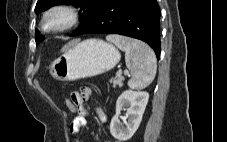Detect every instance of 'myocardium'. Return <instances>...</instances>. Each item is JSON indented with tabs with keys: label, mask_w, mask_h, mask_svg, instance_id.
<instances>
[{
	"label": "myocardium",
	"mask_w": 227,
	"mask_h": 142,
	"mask_svg": "<svg viewBox=\"0 0 227 142\" xmlns=\"http://www.w3.org/2000/svg\"><path fill=\"white\" fill-rule=\"evenodd\" d=\"M80 14L72 4H55L41 15L39 30L44 34H57L70 30L79 22Z\"/></svg>",
	"instance_id": "myocardium-1"
}]
</instances>
